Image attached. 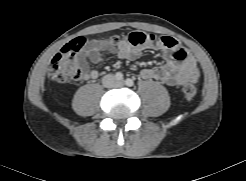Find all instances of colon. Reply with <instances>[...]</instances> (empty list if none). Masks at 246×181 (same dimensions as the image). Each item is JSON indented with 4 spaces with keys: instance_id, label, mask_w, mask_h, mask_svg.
Here are the masks:
<instances>
[{
    "instance_id": "obj_1",
    "label": "colon",
    "mask_w": 246,
    "mask_h": 181,
    "mask_svg": "<svg viewBox=\"0 0 246 181\" xmlns=\"http://www.w3.org/2000/svg\"><path fill=\"white\" fill-rule=\"evenodd\" d=\"M161 38L155 34L140 31L132 32L127 36V40L133 46L157 43ZM84 44V37H77L53 57L48 67V75L53 81L65 83L79 82L84 79L83 61L77 56V52ZM181 89L184 96L189 100L197 94V87L193 82H185Z\"/></svg>"
}]
</instances>
